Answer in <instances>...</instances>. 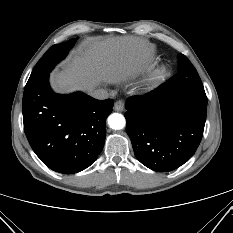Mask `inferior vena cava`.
<instances>
[{"label":"inferior vena cava","mask_w":233,"mask_h":233,"mask_svg":"<svg viewBox=\"0 0 233 233\" xmlns=\"http://www.w3.org/2000/svg\"><path fill=\"white\" fill-rule=\"evenodd\" d=\"M91 95H92V97L99 99V100H104V99H107L109 97V93L105 89L94 90L91 93Z\"/></svg>","instance_id":"602c4592"}]
</instances>
